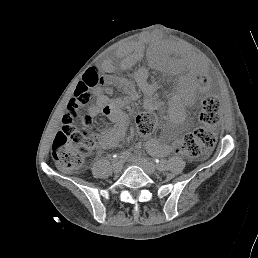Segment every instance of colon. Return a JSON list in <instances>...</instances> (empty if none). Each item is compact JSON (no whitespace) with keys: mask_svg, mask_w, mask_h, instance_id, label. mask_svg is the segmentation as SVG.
<instances>
[{"mask_svg":"<svg viewBox=\"0 0 258 258\" xmlns=\"http://www.w3.org/2000/svg\"><path fill=\"white\" fill-rule=\"evenodd\" d=\"M100 79L101 73L97 69H89L83 82L77 86L74 98L63 116L61 129L52 145V157L61 171L74 172L81 169L89 151L100 144V130L92 127L90 119L80 115L81 106L89 102L90 90L98 85ZM219 107L217 97H205L201 111L203 126L175 141L173 150L178 154L198 158L206 148L212 147L216 142L215 127L219 122ZM156 123L157 118L153 112H143L137 117L136 127L140 134L146 135L154 130Z\"/></svg>","mask_w":258,"mask_h":258,"instance_id":"obj_1","label":"colon"}]
</instances>
